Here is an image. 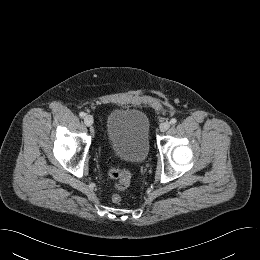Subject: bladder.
<instances>
[{
    "label": "bladder",
    "instance_id": "obj_1",
    "mask_svg": "<svg viewBox=\"0 0 260 260\" xmlns=\"http://www.w3.org/2000/svg\"><path fill=\"white\" fill-rule=\"evenodd\" d=\"M149 121L134 108H119L107 119L109 145L121 160L131 164L143 163L150 151Z\"/></svg>",
    "mask_w": 260,
    "mask_h": 260
}]
</instances>
